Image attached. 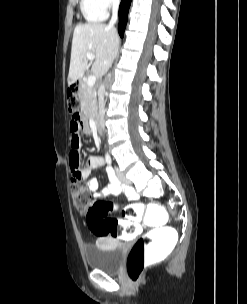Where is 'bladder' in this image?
Instances as JSON below:
<instances>
[{"instance_id":"31cf9c89","label":"bladder","mask_w":247,"mask_h":304,"mask_svg":"<svg viewBox=\"0 0 247 304\" xmlns=\"http://www.w3.org/2000/svg\"><path fill=\"white\" fill-rule=\"evenodd\" d=\"M125 254V245L109 239H102L85 247L87 266L92 270L117 272Z\"/></svg>"}]
</instances>
